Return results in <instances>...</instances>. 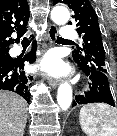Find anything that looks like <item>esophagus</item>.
Listing matches in <instances>:
<instances>
[{"label":"esophagus","mask_w":117,"mask_h":136,"mask_svg":"<svg viewBox=\"0 0 117 136\" xmlns=\"http://www.w3.org/2000/svg\"><path fill=\"white\" fill-rule=\"evenodd\" d=\"M57 34H58L57 27L54 24H51L48 29V38L51 43H53L56 40ZM48 84L50 87L56 88L59 84V79L49 77Z\"/></svg>","instance_id":"34e87169"}]
</instances>
